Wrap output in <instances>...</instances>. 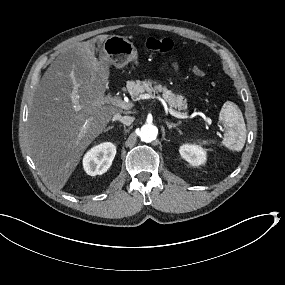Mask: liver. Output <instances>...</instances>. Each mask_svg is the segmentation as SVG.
Listing matches in <instances>:
<instances>
[{
  "label": "liver",
  "instance_id": "6515ba94",
  "mask_svg": "<svg viewBox=\"0 0 285 285\" xmlns=\"http://www.w3.org/2000/svg\"><path fill=\"white\" fill-rule=\"evenodd\" d=\"M108 35L79 42L51 63L28 115L27 148L50 186L61 190L86 149L123 110L106 103L109 72L95 56ZM102 60L109 61L102 54Z\"/></svg>",
  "mask_w": 285,
  "mask_h": 285
}]
</instances>
